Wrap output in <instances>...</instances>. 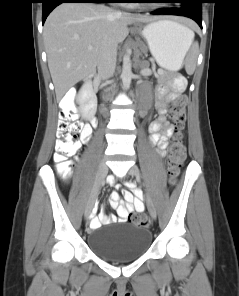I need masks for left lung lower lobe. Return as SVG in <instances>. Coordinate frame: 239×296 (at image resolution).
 <instances>
[{
	"label": "left lung lower lobe",
	"mask_w": 239,
	"mask_h": 296,
	"mask_svg": "<svg viewBox=\"0 0 239 296\" xmlns=\"http://www.w3.org/2000/svg\"><path fill=\"white\" fill-rule=\"evenodd\" d=\"M174 3H182L181 8L159 9L153 11L152 14H168L185 16L193 19L202 28V3L201 0H178Z\"/></svg>",
	"instance_id": "1"
}]
</instances>
